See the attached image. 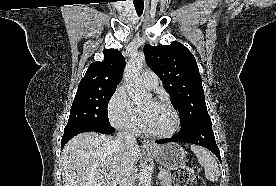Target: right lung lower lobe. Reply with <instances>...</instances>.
Instances as JSON below:
<instances>
[{
    "instance_id": "right-lung-lower-lobe-1",
    "label": "right lung lower lobe",
    "mask_w": 276,
    "mask_h": 186,
    "mask_svg": "<svg viewBox=\"0 0 276 186\" xmlns=\"http://www.w3.org/2000/svg\"><path fill=\"white\" fill-rule=\"evenodd\" d=\"M88 131H94L98 133L103 134H112L115 129L109 124V125H101V124H77L71 127H67L64 130V134L62 137V143H61V149L64 147V145L75 135L82 133V132H88Z\"/></svg>"
}]
</instances>
